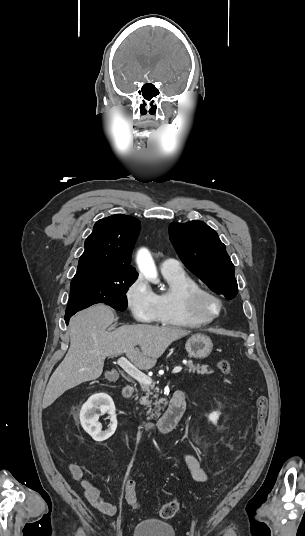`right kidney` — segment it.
<instances>
[{"mask_svg": "<svg viewBox=\"0 0 305 536\" xmlns=\"http://www.w3.org/2000/svg\"><path fill=\"white\" fill-rule=\"evenodd\" d=\"M100 410V414L98 412ZM109 414L110 428L106 432H102L101 424L98 422L99 416ZM80 422L87 434L92 436L95 442H103L113 436L117 428V418L115 414V406L112 398L107 394H95L91 396L88 402L84 404L80 412Z\"/></svg>", "mask_w": 305, "mask_h": 536, "instance_id": "right-kidney-1", "label": "right kidney"}]
</instances>
